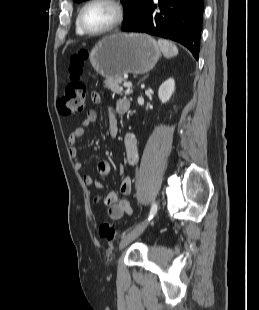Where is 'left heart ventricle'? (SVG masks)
Returning a JSON list of instances; mask_svg holds the SVG:
<instances>
[{
    "mask_svg": "<svg viewBox=\"0 0 259 310\" xmlns=\"http://www.w3.org/2000/svg\"><path fill=\"white\" fill-rule=\"evenodd\" d=\"M115 18V10L105 3H94L83 13V22L90 30H101L108 26Z\"/></svg>",
    "mask_w": 259,
    "mask_h": 310,
    "instance_id": "obj_1",
    "label": "left heart ventricle"
}]
</instances>
